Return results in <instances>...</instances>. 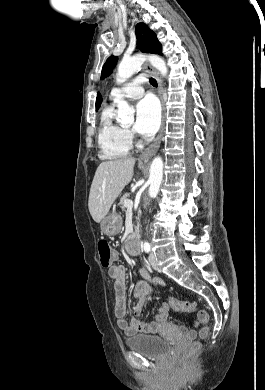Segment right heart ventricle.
I'll list each match as a JSON object with an SVG mask.
<instances>
[{
	"instance_id": "right-heart-ventricle-1",
	"label": "right heart ventricle",
	"mask_w": 265,
	"mask_h": 390,
	"mask_svg": "<svg viewBox=\"0 0 265 390\" xmlns=\"http://www.w3.org/2000/svg\"><path fill=\"white\" fill-rule=\"evenodd\" d=\"M99 156L104 160L126 157L131 149L127 130L114 119L113 106H106L100 116L98 132Z\"/></svg>"
}]
</instances>
